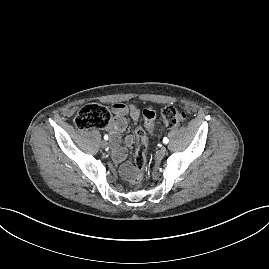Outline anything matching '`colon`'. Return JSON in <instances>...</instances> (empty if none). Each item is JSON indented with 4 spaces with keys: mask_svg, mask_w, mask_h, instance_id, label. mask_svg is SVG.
Segmentation results:
<instances>
[{
    "mask_svg": "<svg viewBox=\"0 0 269 269\" xmlns=\"http://www.w3.org/2000/svg\"><path fill=\"white\" fill-rule=\"evenodd\" d=\"M143 125L136 130L138 137V145L134 158L135 170L131 177L133 184H138L143 175L146 164V131L151 132L155 112L152 109L143 110ZM163 126L166 128H174L186 119V113L173 106H166L161 111ZM111 113L109 109L101 104H87L83 106L75 117V125L79 129L105 128L110 124Z\"/></svg>",
    "mask_w": 269,
    "mask_h": 269,
    "instance_id": "colon-1",
    "label": "colon"
}]
</instances>
